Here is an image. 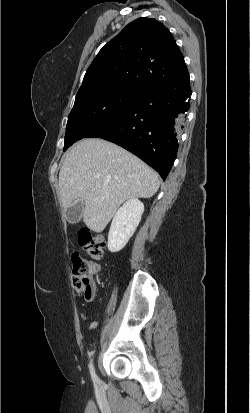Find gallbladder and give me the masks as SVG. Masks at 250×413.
<instances>
[{
	"mask_svg": "<svg viewBox=\"0 0 250 413\" xmlns=\"http://www.w3.org/2000/svg\"><path fill=\"white\" fill-rule=\"evenodd\" d=\"M84 204L79 201L66 210V219L71 224H76L81 220Z\"/></svg>",
	"mask_w": 250,
	"mask_h": 413,
	"instance_id": "obj_1",
	"label": "gallbladder"
}]
</instances>
